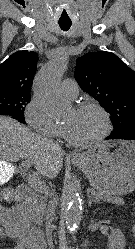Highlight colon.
Masks as SVG:
<instances>
[{
    "mask_svg": "<svg viewBox=\"0 0 135 249\" xmlns=\"http://www.w3.org/2000/svg\"><path fill=\"white\" fill-rule=\"evenodd\" d=\"M131 233L135 237V224H133L131 227Z\"/></svg>",
    "mask_w": 135,
    "mask_h": 249,
    "instance_id": "colon-1",
    "label": "colon"
}]
</instances>
